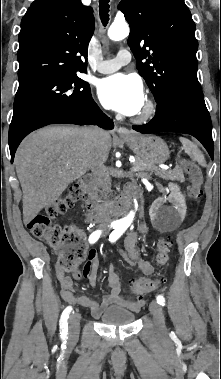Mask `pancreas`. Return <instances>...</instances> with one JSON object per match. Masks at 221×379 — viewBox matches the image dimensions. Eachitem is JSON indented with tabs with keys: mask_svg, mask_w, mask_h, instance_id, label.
Masks as SVG:
<instances>
[{
	"mask_svg": "<svg viewBox=\"0 0 221 379\" xmlns=\"http://www.w3.org/2000/svg\"><path fill=\"white\" fill-rule=\"evenodd\" d=\"M133 167L136 168L135 171L142 172L143 174H147L148 172H150V174L154 173L156 176H159L165 180L181 181V182L185 181L183 170L180 167H176L175 169L170 170V171L160 170L153 165L147 164L141 159H137L133 163Z\"/></svg>",
	"mask_w": 221,
	"mask_h": 379,
	"instance_id": "1",
	"label": "pancreas"
}]
</instances>
